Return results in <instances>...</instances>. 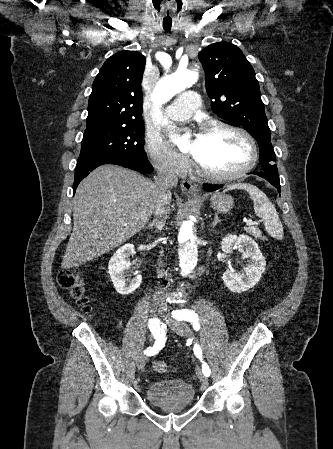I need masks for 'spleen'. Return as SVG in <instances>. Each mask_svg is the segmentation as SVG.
<instances>
[{"instance_id": "1", "label": "spleen", "mask_w": 333, "mask_h": 449, "mask_svg": "<svg viewBox=\"0 0 333 449\" xmlns=\"http://www.w3.org/2000/svg\"><path fill=\"white\" fill-rule=\"evenodd\" d=\"M233 189H244L249 193L254 202L255 214L262 219L268 234L276 239H282L284 236L282 223L274 205L266 194L256 186L246 183L230 185L225 191Z\"/></svg>"}]
</instances>
